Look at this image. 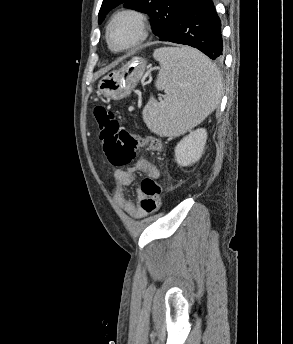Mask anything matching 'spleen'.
Segmentation results:
<instances>
[{"label":"spleen","instance_id":"spleen-1","mask_svg":"<svg viewBox=\"0 0 293 344\" xmlns=\"http://www.w3.org/2000/svg\"><path fill=\"white\" fill-rule=\"evenodd\" d=\"M153 57L161 69L156 87L164 100L151 97L143 109L147 127L161 136L176 137L200 124L218 106L223 83L208 57L189 47H163Z\"/></svg>","mask_w":293,"mask_h":344}]
</instances>
